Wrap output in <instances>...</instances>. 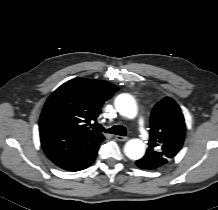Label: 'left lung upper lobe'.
Segmentation results:
<instances>
[{
    "mask_svg": "<svg viewBox=\"0 0 218 210\" xmlns=\"http://www.w3.org/2000/svg\"><path fill=\"white\" fill-rule=\"evenodd\" d=\"M185 138L184 116L177 103L170 97L158 102L150 120V140L146 157L162 166L181 149Z\"/></svg>",
    "mask_w": 218,
    "mask_h": 210,
    "instance_id": "left-lung-upper-lobe-1",
    "label": "left lung upper lobe"
}]
</instances>
